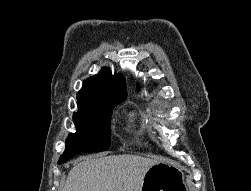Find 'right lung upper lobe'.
Here are the masks:
<instances>
[{
  "label": "right lung upper lobe",
  "mask_w": 251,
  "mask_h": 191,
  "mask_svg": "<svg viewBox=\"0 0 251 191\" xmlns=\"http://www.w3.org/2000/svg\"><path fill=\"white\" fill-rule=\"evenodd\" d=\"M127 97L125 78L104 68L86 79L77 93L78 110L119 104Z\"/></svg>",
  "instance_id": "1"
}]
</instances>
